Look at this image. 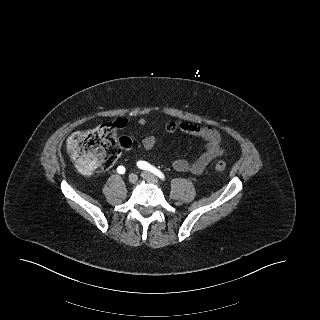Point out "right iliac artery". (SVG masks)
<instances>
[{"label": "right iliac artery", "instance_id": "1", "mask_svg": "<svg viewBox=\"0 0 320 320\" xmlns=\"http://www.w3.org/2000/svg\"><path fill=\"white\" fill-rule=\"evenodd\" d=\"M117 171H118V173H120V174H124L125 171H126V169H125L123 166H119V167L117 168Z\"/></svg>", "mask_w": 320, "mask_h": 320}]
</instances>
